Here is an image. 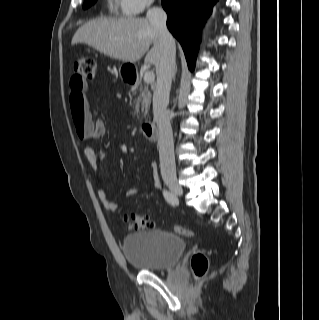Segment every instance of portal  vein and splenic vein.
Returning <instances> with one entry per match:
<instances>
[{
	"label": "portal vein and splenic vein",
	"mask_w": 319,
	"mask_h": 320,
	"mask_svg": "<svg viewBox=\"0 0 319 320\" xmlns=\"http://www.w3.org/2000/svg\"><path fill=\"white\" fill-rule=\"evenodd\" d=\"M155 79V75L152 71H147L144 75V82L145 83H152Z\"/></svg>",
	"instance_id": "1"
}]
</instances>
